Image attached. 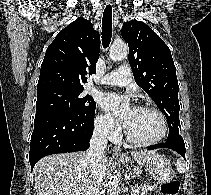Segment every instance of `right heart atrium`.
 I'll return each instance as SVG.
<instances>
[{
    "label": "right heart atrium",
    "instance_id": "right-heart-atrium-1",
    "mask_svg": "<svg viewBox=\"0 0 211 195\" xmlns=\"http://www.w3.org/2000/svg\"><path fill=\"white\" fill-rule=\"evenodd\" d=\"M97 131L111 139L116 138L118 134V126L112 116L108 113H100L95 120Z\"/></svg>",
    "mask_w": 211,
    "mask_h": 195
}]
</instances>
